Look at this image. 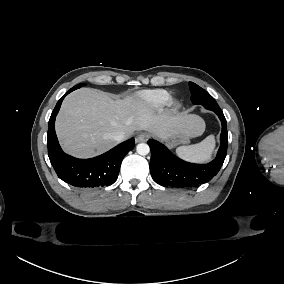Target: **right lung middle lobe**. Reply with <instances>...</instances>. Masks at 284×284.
I'll return each mask as SVG.
<instances>
[{
    "instance_id": "right-lung-middle-lobe-1",
    "label": "right lung middle lobe",
    "mask_w": 284,
    "mask_h": 284,
    "mask_svg": "<svg viewBox=\"0 0 284 284\" xmlns=\"http://www.w3.org/2000/svg\"><path fill=\"white\" fill-rule=\"evenodd\" d=\"M82 85H84V84H78V85H76L75 87H73L74 89H78V88H80Z\"/></svg>"
}]
</instances>
